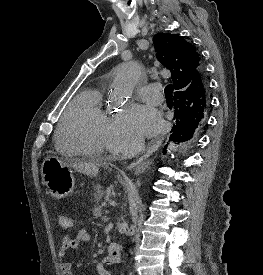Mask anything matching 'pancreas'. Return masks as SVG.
I'll list each match as a JSON object with an SVG mask.
<instances>
[{
	"mask_svg": "<svg viewBox=\"0 0 263 275\" xmlns=\"http://www.w3.org/2000/svg\"><path fill=\"white\" fill-rule=\"evenodd\" d=\"M103 195H104V193L100 192V191H98V192H96L94 194V200L96 202V205H95V207L93 209V217L95 219H97V218H99V217L102 216V207L98 204V202L101 200V198H102Z\"/></svg>",
	"mask_w": 263,
	"mask_h": 275,
	"instance_id": "pancreas-1",
	"label": "pancreas"
}]
</instances>
